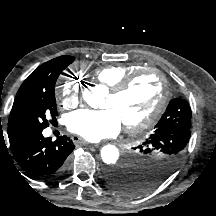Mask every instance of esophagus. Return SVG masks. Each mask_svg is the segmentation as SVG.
<instances>
[{"mask_svg":"<svg viewBox=\"0 0 216 216\" xmlns=\"http://www.w3.org/2000/svg\"><path fill=\"white\" fill-rule=\"evenodd\" d=\"M72 140L75 144H80V145H90L89 142L85 141L82 137L78 135H73Z\"/></svg>","mask_w":216,"mask_h":216,"instance_id":"obj_1","label":"esophagus"}]
</instances>
